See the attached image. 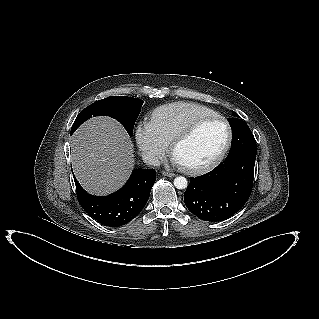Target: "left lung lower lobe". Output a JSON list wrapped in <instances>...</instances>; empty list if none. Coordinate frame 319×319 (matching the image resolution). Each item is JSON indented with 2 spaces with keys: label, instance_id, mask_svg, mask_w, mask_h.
Wrapping results in <instances>:
<instances>
[{
  "label": "left lung lower lobe",
  "instance_id": "1",
  "mask_svg": "<svg viewBox=\"0 0 319 319\" xmlns=\"http://www.w3.org/2000/svg\"><path fill=\"white\" fill-rule=\"evenodd\" d=\"M236 118H231L234 122ZM255 152L228 155L207 174L190 178L184 202L191 213L204 221L219 222L233 216L250 197Z\"/></svg>",
  "mask_w": 319,
  "mask_h": 319
}]
</instances>
